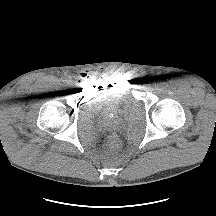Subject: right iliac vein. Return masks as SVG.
I'll list each match as a JSON object with an SVG mask.
<instances>
[{"mask_svg": "<svg viewBox=\"0 0 216 216\" xmlns=\"http://www.w3.org/2000/svg\"><path fill=\"white\" fill-rule=\"evenodd\" d=\"M66 83H67L69 86H72V85H73V82H72L70 79H67V80H66Z\"/></svg>", "mask_w": 216, "mask_h": 216, "instance_id": "obj_1", "label": "right iliac vein"}]
</instances>
